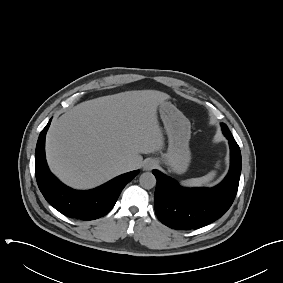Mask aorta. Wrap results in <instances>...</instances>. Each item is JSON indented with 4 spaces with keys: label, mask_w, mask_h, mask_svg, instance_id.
<instances>
[{
    "label": "aorta",
    "mask_w": 283,
    "mask_h": 283,
    "mask_svg": "<svg viewBox=\"0 0 283 283\" xmlns=\"http://www.w3.org/2000/svg\"><path fill=\"white\" fill-rule=\"evenodd\" d=\"M139 182L143 188L151 189L156 185V178L151 172H145L141 174Z\"/></svg>",
    "instance_id": "762f6f07"
}]
</instances>
